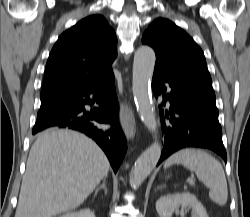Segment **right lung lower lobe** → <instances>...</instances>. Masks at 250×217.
Segmentation results:
<instances>
[{
  "label": "right lung lower lobe",
  "mask_w": 250,
  "mask_h": 217,
  "mask_svg": "<svg viewBox=\"0 0 250 217\" xmlns=\"http://www.w3.org/2000/svg\"><path fill=\"white\" fill-rule=\"evenodd\" d=\"M94 103L100 107L90 112L85 110V105ZM118 114V99L112 74L92 87L41 105L32 134L48 128H69L85 133L103 149L116 173L127 147L118 124ZM97 123L110 124L111 128L103 131L97 128Z\"/></svg>",
  "instance_id": "1"
}]
</instances>
